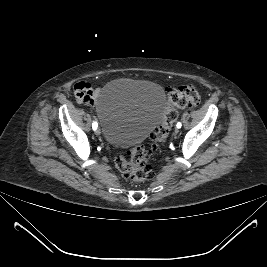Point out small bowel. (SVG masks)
Wrapping results in <instances>:
<instances>
[{"label": "small bowel", "instance_id": "small-bowel-1", "mask_svg": "<svg viewBox=\"0 0 267 267\" xmlns=\"http://www.w3.org/2000/svg\"><path fill=\"white\" fill-rule=\"evenodd\" d=\"M75 97L80 103L91 105L94 102L96 91L87 82H79L74 86Z\"/></svg>", "mask_w": 267, "mask_h": 267}]
</instances>
